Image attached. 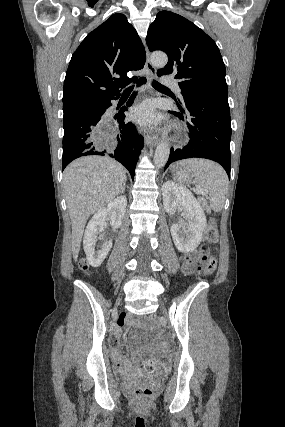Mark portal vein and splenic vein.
<instances>
[{
  "label": "portal vein and splenic vein",
  "mask_w": 285,
  "mask_h": 427,
  "mask_svg": "<svg viewBox=\"0 0 285 427\" xmlns=\"http://www.w3.org/2000/svg\"><path fill=\"white\" fill-rule=\"evenodd\" d=\"M197 192H198V193H202V191H199V190H198Z\"/></svg>",
  "instance_id": "portal-vein-and-splenic-vein-1"
}]
</instances>
